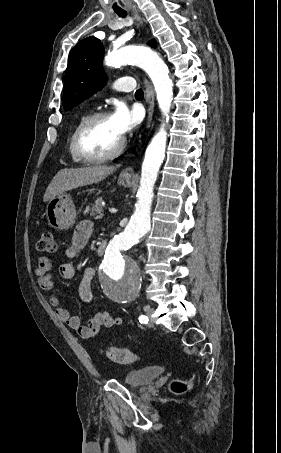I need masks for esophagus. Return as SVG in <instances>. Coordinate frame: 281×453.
Here are the masks:
<instances>
[{
	"instance_id": "esophagus-1",
	"label": "esophagus",
	"mask_w": 281,
	"mask_h": 453,
	"mask_svg": "<svg viewBox=\"0 0 281 453\" xmlns=\"http://www.w3.org/2000/svg\"><path fill=\"white\" fill-rule=\"evenodd\" d=\"M134 13V19L136 22V25L140 27L142 25V18L140 13L137 10H133ZM144 87H145V95H146V129H148L151 125V121L153 118V112H154V93L151 84L148 82V80L145 78L144 79ZM124 174L130 175L133 173L132 167H127L123 170Z\"/></svg>"
}]
</instances>
